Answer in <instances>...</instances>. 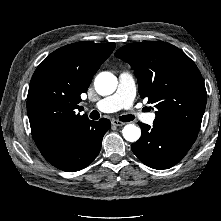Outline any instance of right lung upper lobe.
I'll list each match as a JSON object with an SVG mask.
<instances>
[{"mask_svg":"<svg viewBox=\"0 0 221 221\" xmlns=\"http://www.w3.org/2000/svg\"><path fill=\"white\" fill-rule=\"evenodd\" d=\"M114 48L115 43L77 42L57 49L37 67L29 85L27 113L38 148L90 121L86 114L76 113L80 95Z\"/></svg>","mask_w":221,"mask_h":221,"instance_id":"obj_1","label":"right lung upper lobe"}]
</instances>
